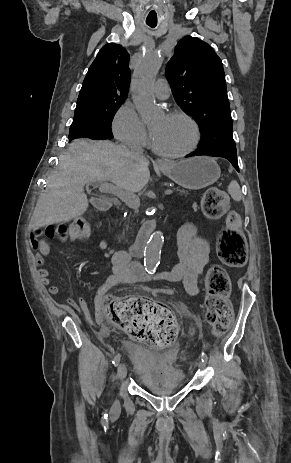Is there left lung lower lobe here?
Returning a JSON list of instances; mask_svg holds the SVG:
<instances>
[{"mask_svg": "<svg viewBox=\"0 0 291 463\" xmlns=\"http://www.w3.org/2000/svg\"><path fill=\"white\" fill-rule=\"evenodd\" d=\"M201 155H208L213 157H222L229 160L232 165L235 167L237 171H239L238 161H237V154L233 151H224V150H215V149H197L195 152L189 154L187 157L190 156H201Z\"/></svg>", "mask_w": 291, "mask_h": 463, "instance_id": "0a47b994", "label": "left lung lower lobe"}]
</instances>
